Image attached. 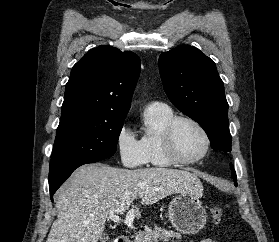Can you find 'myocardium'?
I'll use <instances>...</instances> for the list:
<instances>
[{
    "label": "myocardium",
    "instance_id": "1",
    "mask_svg": "<svg viewBox=\"0 0 279 242\" xmlns=\"http://www.w3.org/2000/svg\"><path fill=\"white\" fill-rule=\"evenodd\" d=\"M181 121L189 122L192 125H194L203 136L204 143H205L204 150H203L202 154L196 158L185 159L180 156V154L178 153V151L176 149L175 142H174V131H175L177 124ZM162 142H163V147H164L165 153L168 156V158L173 163L180 164V165H192V164L200 162L207 156V154L210 150V147H211L210 136H209L207 130L205 129V127L198 120L194 119L193 117L186 116V115L173 116L167 122V124L163 130V133H162Z\"/></svg>",
    "mask_w": 279,
    "mask_h": 242
}]
</instances>
